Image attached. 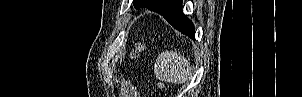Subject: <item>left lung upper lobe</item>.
Here are the masks:
<instances>
[{
  "instance_id": "1",
  "label": "left lung upper lobe",
  "mask_w": 302,
  "mask_h": 97,
  "mask_svg": "<svg viewBox=\"0 0 302 97\" xmlns=\"http://www.w3.org/2000/svg\"><path fill=\"white\" fill-rule=\"evenodd\" d=\"M148 0H134L133 4L136 9H140L141 7H145Z\"/></svg>"
}]
</instances>
